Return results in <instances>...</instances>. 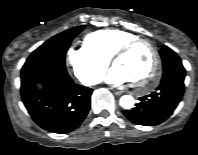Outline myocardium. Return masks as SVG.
Listing matches in <instances>:
<instances>
[{
	"mask_svg": "<svg viewBox=\"0 0 198 155\" xmlns=\"http://www.w3.org/2000/svg\"><path fill=\"white\" fill-rule=\"evenodd\" d=\"M141 43L148 45L149 48L151 49L153 55V65L151 71L143 81L133 82V84L143 92H148L149 90H151L153 87L156 86L159 79L160 68H161V57L156 45L152 41L139 37L126 41L119 48L115 50V52L111 57V61L112 63H115L117 58L127 54L136 45Z\"/></svg>",
	"mask_w": 198,
	"mask_h": 155,
	"instance_id": "myocardium-1",
	"label": "myocardium"
}]
</instances>
